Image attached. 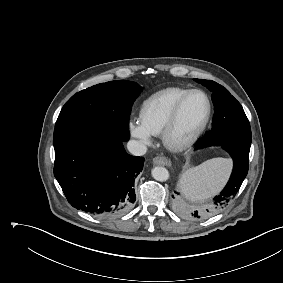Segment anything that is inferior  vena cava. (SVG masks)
Here are the masks:
<instances>
[{
  "label": "inferior vena cava",
  "mask_w": 283,
  "mask_h": 283,
  "mask_svg": "<svg viewBox=\"0 0 283 283\" xmlns=\"http://www.w3.org/2000/svg\"><path fill=\"white\" fill-rule=\"evenodd\" d=\"M127 148L129 152L135 156H142L147 152L146 145L137 140H130L127 143Z\"/></svg>",
  "instance_id": "inferior-vena-cava-1"
}]
</instances>
